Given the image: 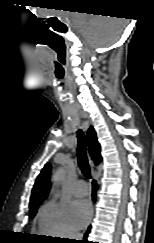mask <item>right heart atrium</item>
<instances>
[{"instance_id":"d8ad5b80","label":"right heart atrium","mask_w":154,"mask_h":243,"mask_svg":"<svg viewBox=\"0 0 154 243\" xmlns=\"http://www.w3.org/2000/svg\"><path fill=\"white\" fill-rule=\"evenodd\" d=\"M37 222L39 231L49 237L68 239L77 236L66 208L55 201H49L41 207Z\"/></svg>"}]
</instances>
